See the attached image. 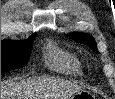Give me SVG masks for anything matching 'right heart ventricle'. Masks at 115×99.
Wrapping results in <instances>:
<instances>
[{
	"mask_svg": "<svg viewBox=\"0 0 115 99\" xmlns=\"http://www.w3.org/2000/svg\"><path fill=\"white\" fill-rule=\"evenodd\" d=\"M44 61L50 69L63 74L80 75L82 73L79 58L52 41H49L45 47Z\"/></svg>",
	"mask_w": 115,
	"mask_h": 99,
	"instance_id": "obj_1",
	"label": "right heart ventricle"
}]
</instances>
